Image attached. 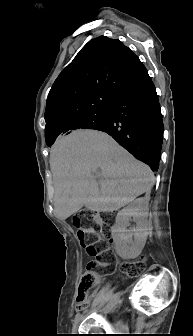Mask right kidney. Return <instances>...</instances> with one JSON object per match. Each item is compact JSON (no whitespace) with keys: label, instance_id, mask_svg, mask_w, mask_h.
I'll return each instance as SVG.
<instances>
[{"label":"right kidney","instance_id":"right-kidney-1","mask_svg":"<svg viewBox=\"0 0 193 336\" xmlns=\"http://www.w3.org/2000/svg\"><path fill=\"white\" fill-rule=\"evenodd\" d=\"M148 211V199L138 198L118 212L112 232L119 255L134 258L141 253L148 235ZM131 218L136 226L128 230Z\"/></svg>","mask_w":193,"mask_h":336}]
</instances>
